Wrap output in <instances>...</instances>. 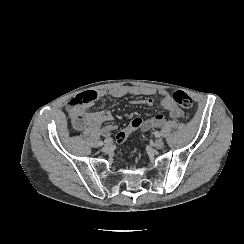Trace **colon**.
<instances>
[{
    "label": "colon",
    "instance_id": "obj_1",
    "mask_svg": "<svg viewBox=\"0 0 244 244\" xmlns=\"http://www.w3.org/2000/svg\"><path fill=\"white\" fill-rule=\"evenodd\" d=\"M173 101L176 105L183 107V108H189L191 107L193 101L189 94L183 90L175 91L172 95ZM142 118L139 117L137 120H134L132 124L129 126L130 129L122 130L120 133L116 135V141L118 143H123L126 139L125 135L132 132L134 127H139L142 124ZM73 122L76 128H78L80 125L84 124L86 122V117L82 113L81 110L78 111L73 117ZM124 135V136H123Z\"/></svg>",
    "mask_w": 244,
    "mask_h": 244
}]
</instances>
